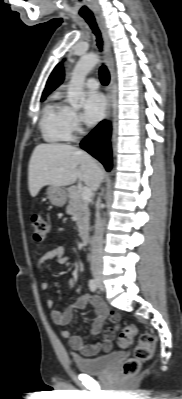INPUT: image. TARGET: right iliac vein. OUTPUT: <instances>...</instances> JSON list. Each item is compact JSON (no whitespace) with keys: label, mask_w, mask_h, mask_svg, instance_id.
Here are the masks:
<instances>
[{"label":"right iliac vein","mask_w":182,"mask_h":399,"mask_svg":"<svg viewBox=\"0 0 182 399\" xmlns=\"http://www.w3.org/2000/svg\"><path fill=\"white\" fill-rule=\"evenodd\" d=\"M95 280H96V282H97L98 284L101 285V283H102V278H101L100 275H96V276H95ZM101 287H102V286H101ZM102 289H103V287H102Z\"/></svg>","instance_id":"63e3f726"}]
</instances>
